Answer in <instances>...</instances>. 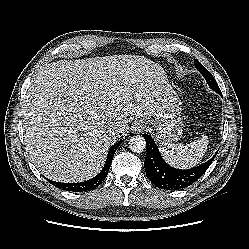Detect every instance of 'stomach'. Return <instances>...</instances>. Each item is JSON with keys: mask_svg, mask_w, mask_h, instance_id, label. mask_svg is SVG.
<instances>
[{"mask_svg": "<svg viewBox=\"0 0 249 249\" xmlns=\"http://www.w3.org/2000/svg\"><path fill=\"white\" fill-rule=\"evenodd\" d=\"M183 119L182 103L169 85L164 92L161 110L151 120L154 122L156 140L160 144L179 140L184 127Z\"/></svg>", "mask_w": 249, "mask_h": 249, "instance_id": "1", "label": "stomach"}]
</instances>
